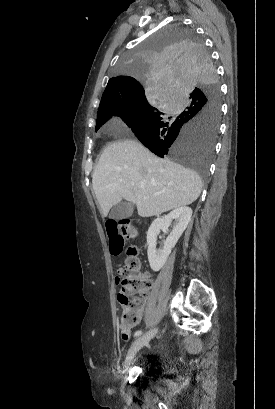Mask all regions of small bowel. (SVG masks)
<instances>
[{"label":"small bowel","mask_w":275,"mask_h":409,"mask_svg":"<svg viewBox=\"0 0 275 409\" xmlns=\"http://www.w3.org/2000/svg\"><path fill=\"white\" fill-rule=\"evenodd\" d=\"M122 283V278L121 277H115L114 278V286L116 288H119L121 286ZM130 331L129 330H124L123 333L120 335V340L122 342H129L131 340V335H130Z\"/></svg>","instance_id":"small-bowel-1"}]
</instances>
